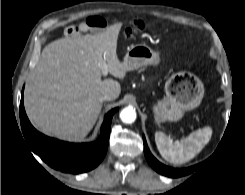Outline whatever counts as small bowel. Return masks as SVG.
Listing matches in <instances>:
<instances>
[{"mask_svg":"<svg viewBox=\"0 0 245 195\" xmlns=\"http://www.w3.org/2000/svg\"><path fill=\"white\" fill-rule=\"evenodd\" d=\"M107 21L97 15L88 16L84 21L78 25H70L65 29V34L69 37H73L82 32L89 31H102L107 28Z\"/></svg>","mask_w":245,"mask_h":195,"instance_id":"obj_1","label":"small bowel"}]
</instances>
